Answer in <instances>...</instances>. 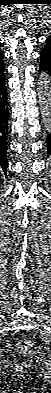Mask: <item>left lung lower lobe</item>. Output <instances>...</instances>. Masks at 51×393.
<instances>
[{
	"mask_svg": "<svg viewBox=\"0 0 51 393\" xmlns=\"http://www.w3.org/2000/svg\"><path fill=\"white\" fill-rule=\"evenodd\" d=\"M40 70L51 77V55L42 51L40 60ZM48 155L51 154V133L47 136Z\"/></svg>",
	"mask_w": 51,
	"mask_h": 393,
	"instance_id": "1",
	"label": "left lung lower lobe"
}]
</instances>
